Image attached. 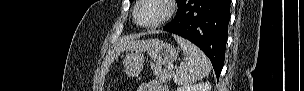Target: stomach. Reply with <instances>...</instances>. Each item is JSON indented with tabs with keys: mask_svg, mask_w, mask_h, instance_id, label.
Segmentation results:
<instances>
[{
	"mask_svg": "<svg viewBox=\"0 0 304 91\" xmlns=\"http://www.w3.org/2000/svg\"><path fill=\"white\" fill-rule=\"evenodd\" d=\"M145 52L157 66H162L171 64L177 59L179 48L161 40H149L144 50L127 52L123 59V66L128 76L134 77L140 74L145 61Z\"/></svg>",
	"mask_w": 304,
	"mask_h": 91,
	"instance_id": "0dacf381",
	"label": "stomach"
}]
</instances>
